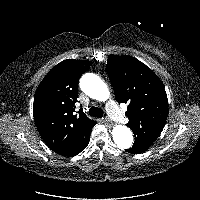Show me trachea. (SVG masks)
<instances>
[{
    "instance_id": "1",
    "label": "trachea",
    "mask_w": 200,
    "mask_h": 200,
    "mask_svg": "<svg viewBox=\"0 0 200 200\" xmlns=\"http://www.w3.org/2000/svg\"><path fill=\"white\" fill-rule=\"evenodd\" d=\"M89 115L92 117L101 118V117H103V110L98 107L92 106L89 109Z\"/></svg>"
}]
</instances>
